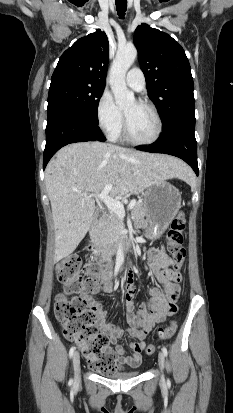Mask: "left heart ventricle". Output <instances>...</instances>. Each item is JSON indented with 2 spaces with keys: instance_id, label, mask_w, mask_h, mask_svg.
Segmentation results:
<instances>
[{
  "instance_id": "obj_1",
  "label": "left heart ventricle",
  "mask_w": 233,
  "mask_h": 413,
  "mask_svg": "<svg viewBox=\"0 0 233 413\" xmlns=\"http://www.w3.org/2000/svg\"><path fill=\"white\" fill-rule=\"evenodd\" d=\"M131 135L137 140L153 138L157 130V122L152 111L136 101L124 107Z\"/></svg>"
}]
</instances>
